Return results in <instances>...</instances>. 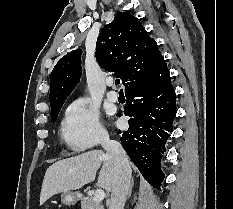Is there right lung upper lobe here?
Returning <instances> with one entry per match:
<instances>
[{"mask_svg": "<svg viewBox=\"0 0 233 209\" xmlns=\"http://www.w3.org/2000/svg\"><path fill=\"white\" fill-rule=\"evenodd\" d=\"M81 50L62 57L51 73L49 94L51 112L62 106L82 74ZM99 65L121 78L125 91L151 78L165 64L157 43L139 20L128 12H119L103 27L96 44Z\"/></svg>", "mask_w": 233, "mask_h": 209, "instance_id": "right-lung-upper-lobe-1", "label": "right lung upper lobe"}]
</instances>
